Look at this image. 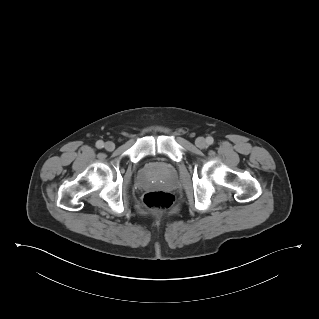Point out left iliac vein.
<instances>
[{
    "label": "left iliac vein",
    "mask_w": 319,
    "mask_h": 319,
    "mask_svg": "<svg viewBox=\"0 0 319 319\" xmlns=\"http://www.w3.org/2000/svg\"><path fill=\"white\" fill-rule=\"evenodd\" d=\"M195 144L200 149L206 148V146H207V142H206V140L203 137H198L195 140Z\"/></svg>",
    "instance_id": "obj_1"
}]
</instances>
